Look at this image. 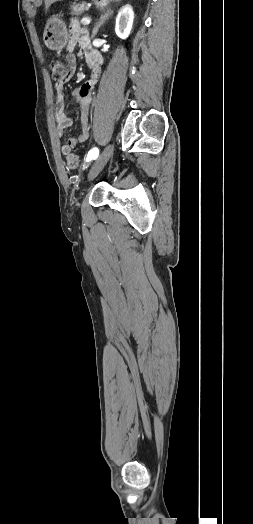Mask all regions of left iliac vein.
I'll return each instance as SVG.
<instances>
[{
    "mask_svg": "<svg viewBox=\"0 0 253 524\" xmlns=\"http://www.w3.org/2000/svg\"><path fill=\"white\" fill-rule=\"evenodd\" d=\"M113 151V146L111 144L107 145L104 150L100 153L94 164L92 165L88 178L89 180L94 179L100 171L103 169L107 161L109 160Z\"/></svg>",
    "mask_w": 253,
    "mask_h": 524,
    "instance_id": "1",
    "label": "left iliac vein"
}]
</instances>
